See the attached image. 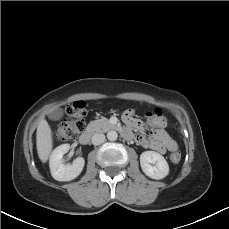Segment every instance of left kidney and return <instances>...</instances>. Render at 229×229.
<instances>
[{
	"label": "left kidney",
	"mask_w": 229,
	"mask_h": 229,
	"mask_svg": "<svg viewBox=\"0 0 229 229\" xmlns=\"http://www.w3.org/2000/svg\"><path fill=\"white\" fill-rule=\"evenodd\" d=\"M143 172L150 178L160 180L169 173V165L165 158L155 151H145L140 155Z\"/></svg>",
	"instance_id": "obj_1"
}]
</instances>
